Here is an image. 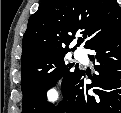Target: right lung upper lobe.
I'll return each instance as SVG.
<instances>
[{
  "mask_svg": "<svg viewBox=\"0 0 121 113\" xmlns=\"http://www.w3.org/2000/svg\"><path fill=\"white\" fill-rule=\"evenodd\" d=\"M121 31V8L116 0H43L28 21L23 37L22 68L38 58L68 52L77 33L91 48ZM83 40L79 38L75 50Z\"/></svg>",
  "mask_w": 121,
  "mask_h": 113,
  "instance_id": "right-lung-upper-lobe-1",
  "label": "right lung upper lobe"
}]
</instances>
